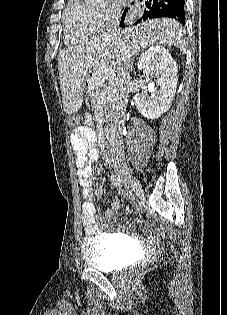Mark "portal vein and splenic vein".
I'll list each match as a JSON object with an SVG mask.
<instances>
[{
    "label": "portal vein and splenic vein",
    "instance_id": "1",
    "mask_svg": "<svg viewBox=\"0 0 227 315\" xmlns=\"http://www.w3.org/2000/svg\"><path fill=\"white\" fill-rule=\"evenodd\" d=\"M106 78L105 77H101V76H99L98 78L96 77L95 79H94V82H93V84H95V85H98V86H100V85H102L103 84V82H104V80H105ZM113 88L111 87V86H109V87H107L104 91H103V96H105V95H111L112 93H113Z\"/></svg>",
    "mask_w": 227,
    "mask_h": 315
}]
</instances>
